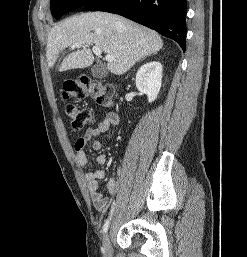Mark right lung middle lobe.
Segmentation results:
<instances>
[{"label":"right lung middle lobe","instance_id":"dd1d6c3e","mask_svg":"<svg viewBox=\"0 0 247 257\" xmlns=\"http://www.w3.org/2000/svg\"><path fill=\"white\" fill-rule=\"evenodd\" d=\"M92 1L93 0H51V12L56 19H59L63 14L84 7Z\"/></svg>","mask_w":247,"mask_h":257}]
</instances>
